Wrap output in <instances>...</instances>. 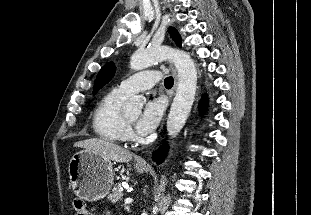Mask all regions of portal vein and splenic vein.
Returning <instances> with one entry per match:
<instances>
[{
  "instance_id": "18ae733b",
  "label": "portal vein and splenic vein",
  "mask_w": 311,
  "mask_h": 215,
  "mask_svg": "<svg viewBox=\"0 0 311 215\" xmlns=\"http://www.w3.org/2000/svg\"><path fill=\"white\" fill-rule=\"evenodd\" d=\"M133 202V199L132 198H126L125 199V204H131Z\"/></svg>"
}]
</instances>
